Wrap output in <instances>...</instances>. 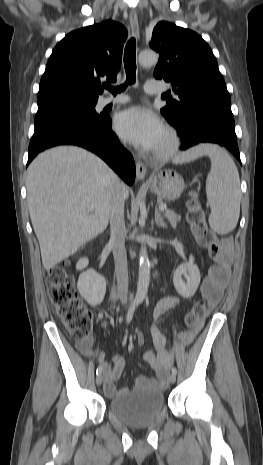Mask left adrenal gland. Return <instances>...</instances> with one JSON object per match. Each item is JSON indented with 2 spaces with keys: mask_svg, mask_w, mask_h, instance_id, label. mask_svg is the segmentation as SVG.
I'll return each instance as SVG.
<instances>
[{
  "mask_svg": "<svg viewBox=\"0 0 263 465\" xmlns=\"http://www.w3.org/2000/svg\"><path fill=\"white\" fill-rule=\"evenodd\" d=\"M155 222L157 226L159 227H167L166 223L163 221V217L161 216V213L158 211V209H155Z\"/></svg>",
  "mask_w": 263,
  "mask_h": 465,
  "instance_id": "a2214340",
  "label": "left adrenal gland"
}]
</instances>
